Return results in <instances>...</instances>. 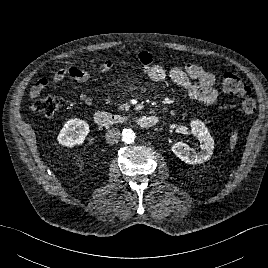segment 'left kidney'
<instances>
[{
  "label": "left kidney",
  "mask_w": 268,
  "mask_h": 268,
  "mask_svg": "<svg viewBox=\"0 0 268 268\" xmlns=\"http://www.w3.org/2000/svg\"><path fill=\"white\" fill-rule=\"evenodd\" d=\"M191 134L202 141L200 151L196 152L188 144L179 141L172 146L173 153L187 164H201L209 160L214 150V140L205 124L199 120H194L190 124Z\"/></svg>",
  "instance_id": "5707ae66"
}]
</instances>
